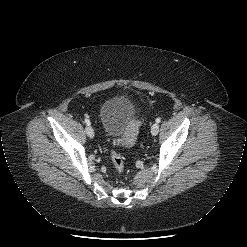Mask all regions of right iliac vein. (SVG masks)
Segmentation results:
<instances>
[{
	"mask_svg": "<svg viewBox=\"0 0 247 247\" xmlns=\"http://www.w3.org/2000/svg\"><path fill=\"white\" fill-rule=\"evenodd\" d=\"M85 130H86V134L88 135V137L94 138V130L91 126H87Z\"/></svg>",
	"mask_w": 247,
	"mask_h": 247,
	"instance_id": "1",
	"label": "right iliac vein"
}]
</instances>
